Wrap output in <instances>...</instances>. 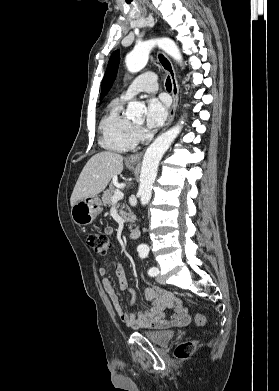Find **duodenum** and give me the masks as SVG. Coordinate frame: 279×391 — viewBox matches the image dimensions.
Wrapping results in <instances>:
<instances>
[{"instance_id":"1","label":"duodenum","mask_w":279,"mask_h":391,"mask_svg":"<svg viewBox=\"0 0 279 391\" xmlns=\"http://www.w3.org/2000/svg\"><path fill=\"white\" fill-rule=\"evenodd\" d=\"M140 237V230L137 227H133L130 232V239L136 240Z\"/></svg>"}]
</instances>
